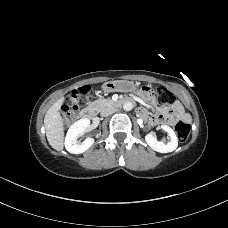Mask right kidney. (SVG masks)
I'll return each mask as SVG.
<instances>
[{"label":"right kidney","mask_w":228,"mask_h":228,"mask_svg":"<svg viewBox=\"0 0 228 228\" xmlns=\"http://www.w3.org/2000/svg\"><path fill=\"white\" fill-rule=\"evenodd\" d=\"M90 126V120L87 118L80 119L73 123L65 138V147L69 153L81 154L88 150L93 144V138H86L82 143L77 142V138Z\"/></svg>","instance_id":"obj_1"}]
</instances>
